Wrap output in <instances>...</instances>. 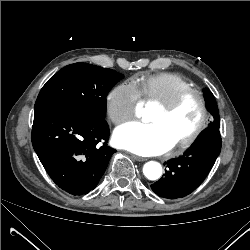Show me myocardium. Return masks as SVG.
<instances>
[{"label":"myocardium","mask_w":250,"mask_h":250,"mask_svg":"<svg viewBox=\"0 0 250 250\" xmlns=\"http://www.w3.org/2000/svg\"><path fill=\"white\" fill-rule=\"evenodd\" d=\"M194 96L197 98L199 105H200V110H201V115H200V120L195 127V129L185 138L182 140L176 142L173 145V149H185L192 145L198 137L201 135V133L204 131V129L207 126L208 119H209V111H208V106H207V101L203 95V93L195 88H188L185 90H182L175 94L171 99H169L166 102L159 103V107L162 109V111L165 114H171L173 111L177 109V107L187 98ZM170 148V149H172Z\"/></svg>","instance_id":"myocardium-1"}]
</instances>
